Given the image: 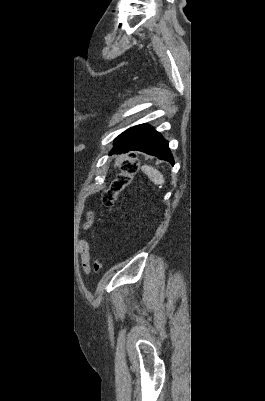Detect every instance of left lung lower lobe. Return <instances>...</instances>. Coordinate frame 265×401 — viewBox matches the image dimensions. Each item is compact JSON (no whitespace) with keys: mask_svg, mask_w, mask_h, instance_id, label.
Returning <instances> with one entry per match:
<instances>
[{"mask_svg":"<svg viewBox=\"0 0 265 401\" xmlns=\"http://www.w3.org/2000/svg\"><path fill=\"white\" fill-rule=\"evenodd\" d=\"M131 150L142 151L174 164L168 142L154 128L146 124L134 126L120 134L115 139L114 147L109 154L126 153Z\"/></svg>","mask_w":265,"mask_h":401,"instance_id":"obj_1","label":"left lung lower lobe"}]
</instances>
